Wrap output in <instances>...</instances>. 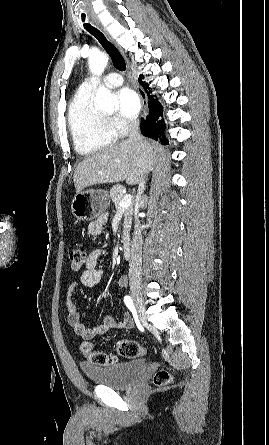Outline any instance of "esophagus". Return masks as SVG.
<instances>
[{
    "mask_svg": "<svg viewBox=\"0 0 269 445\" xmlns=\"http://www.w3.org/2000/svg\"><path fill=\"white\" fill-rule=\"evenodd\" d=\"M91 20L95 24V26L97 28H99L112 43H114L113 39L107 32L106 28L102 25V23L100 22L98 17L95 15H91ZM127 65H128V69H129L128 61H127ZM133 83H134L136 89L138 90L139 96L141 98L142 113L144 116H146L147 112H148L147 95H146L145 91L141 87H139V85L135 81H133Z\"/></svg>",
    "mask_w": 269,
    "mask_h": 445,
    "instance_id": "34e87169",
    "label": "esophagus"
}]
</instances>
